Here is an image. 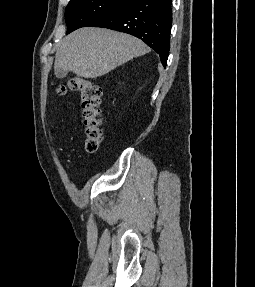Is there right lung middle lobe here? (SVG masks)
<instances>
[{"label":"right lung middle lobe","instance_id":"right-lung-middle-lobe-1","mask_svg":"<svg viewBox=\"0 0 255 287\" xmlns=\"http://www.w3.org/2000/svg\"><path fill=\"white\" fill-rule=\"evenodd\" d=\"M128 0H70L65 11L67 34L88 26L98 17Z\"/></svg>","mask_w":255,"mask_h":287}]
</instances>
